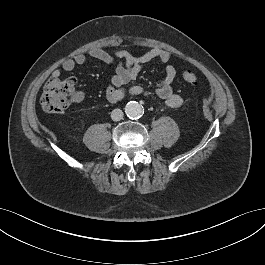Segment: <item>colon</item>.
Masks as SVG:
<instances>
[{
	"label": "colon",
	"instance_id": "1",
	"mask_svg": "<svg viewBox=\"0 0 265 265\" xmlns=\"http://www.w3.org/2000/svg\"><path fill=\"white\" fill-rule=\"evenodd\" d=\"M183 79L193 85L199 83V78L191 71H185ZM74 96L75 82L73 78L51 76L43 87L40 103L47 113H61L70 106Z\"/></svg>",
	"mask_w": 265,
	"mask_h": 265
}]
</instances>
